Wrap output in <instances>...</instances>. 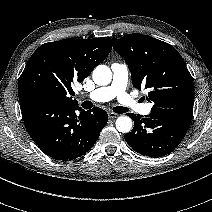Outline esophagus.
Masks as SVG:
<instances>
[{
  "instance_id": "34e87169",
  "label": "esophagus",
  "mask_w": 212,
  "mask_h": 212,
  "mask_svg": "<svg viewBox=\"0 0 212 212\" xmlns=\"http://www.w3.org/2000/svg\"><path fill=\"white\" fill-rule=\"evenodd\" d=\"M119 115L117 113H114V112H109L108 113V117L111 118V119H114V118H117Z\"/></svg>"
}]
</instances>
